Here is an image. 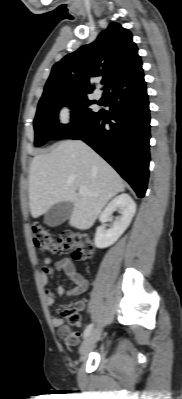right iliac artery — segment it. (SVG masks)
Wrapping results in <instances>:
<instances>
[{"label": "right iliac artery", "instance_id": "obj_1", "mask_svg": "<svg viewBox=\"0 0 182 399\" xmlns=\"http://www.w3.org/2000/svg\"><path fill=\"white\" fill-rule=\"evenodd\" d=\"M92 329H93V324H89L84 330L83 338L88 337Z\"/></svg>", "mask_w": 182, "mask_h": 399}]
</instances>
